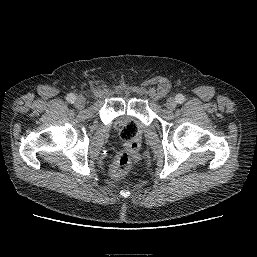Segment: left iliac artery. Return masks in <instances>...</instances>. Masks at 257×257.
Listing matches in <instances>:
<instances>
[{
    "label": "left iliac artery",
    "instance_id": "left-iliac-artery-1",
    "mask_svg": "<svg viewBox=\"0 0 257 257\" xmlns=\"http://www.w3.org/2000/svg\"><path fill=\"white\" fill-rule=\"evenodd\" d=\"M175 99L177 103L182 104L185 101V96L182 94H178L176 95Z\"/></svg>",
    "mask_w": 257,
    "mask_h": 257
}]
</instances>
